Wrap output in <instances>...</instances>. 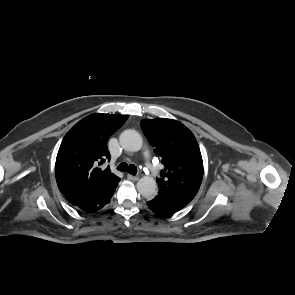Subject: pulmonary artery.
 <instances>
[{"instance_id": "1", "label": "pulmonary artery", "mask_w": 295, "mask_h": 295, "mask_svg": "<svg viewBox=\"0 0 295 295\" xmlns=\"http://www.w3.org/2000/svg\"><path fill=\"white\" fill-rule=\"evenodd\" d=\"M144 157H145V161H146V167L148 168V170L150 171V173L153 175V176H156L157 175V169L156 167L150 162V155L149 153L146 151L144 153Z\"/></svg>"}]
</instances>
